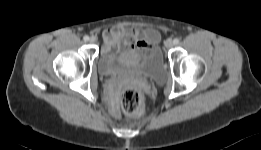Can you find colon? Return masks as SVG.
<instances>
[{
    "label": "colon",
    "instance_id": "5ec220e1",
    "mask_svg": "<svg viewBox=\"0 0 261 150\" xmlns=\"http://www.w3.org/2000/svg\"><path fill=\"white\" fill-rule=\"evenodd\" d=\"M120 104L126 115L140 117L146 111L142 92L137 87L125 88L120 97Z\"/></svg>",
    "mask_w": 261,
    "mask_h": 150
}]
</instances>
